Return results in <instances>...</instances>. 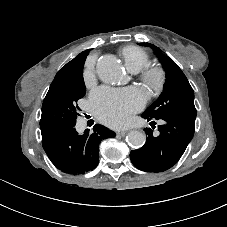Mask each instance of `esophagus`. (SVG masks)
Returning a JSON list of instances; mask_svg holds the SVG:
<instances>
[{"mask_svg": "<svg viewBox=\"0 0 227 227\" xmlns=\"http://www.w3.org/2000/svg\"><path fill=\"white\" fill-rule=\"evenodd\" d=\"M127 134V131H118L117 135L119 136H125Z\"/></svg>", "mask_w": 227, "mask_h": 227, "instance_id": "obj_1", "label": "esophagus"}]
</instances>
